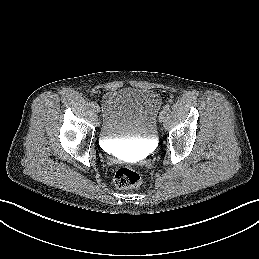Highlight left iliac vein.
I'll return each mask as SVG.
<instances>
[{"label":"left iliac vein","instance_id":"obj_1","mask_svg":"<svg viewBox=\"0 0 259 259\" xmlns=\"http://www.w3.org/2000/svg\"><path fill=\"white\" fill-rule=\"evenodd\" d=\"M166 111H164V110H162L161 112H160V114H159V121L160 122H163L164 120H165V118H166Z\"/></svg>","mask_w":259,"mask_h":259}]
</instances>
